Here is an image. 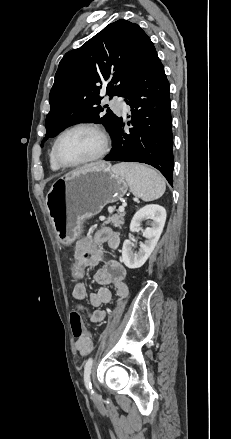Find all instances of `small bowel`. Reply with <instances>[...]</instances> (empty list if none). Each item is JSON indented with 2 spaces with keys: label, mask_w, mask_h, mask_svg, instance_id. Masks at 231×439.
I'll return each mask as SVG.
<instances>
[{
  "label": "small bowel",
  "mask_w": 231,
  "mask_h": 439,
  "mask_svg": "<svg viewBox=\"0 0 231 439\" xmlns=\"http://www.w3.org/2000/svg\"><path fill=\"white\" fill-rule=\"evenodd\" d=\"M108 244L111 250L119 251L121 244L120 235L108 227L98 229L94 235L81 239L75 249V258L80 257L87 268L96 267L102 263L94 274V281L98 288L89 294V303L93 307L109 304L112 300L110 286H113L119 299H123L128 294V286L125 282L127 270L118 260H108L103 262V245ZM85 273V272H84ZM87 283H74L72 290L73 300L80 306L87 296ZM85 315L93 322H101L105 318V312L95 310L90 312L81 308ZM76 350L83 356L88 355L93 350L91 338H79L75 342Z\"/></svg>",
  "instance_id": "1"
}]
</instances>
